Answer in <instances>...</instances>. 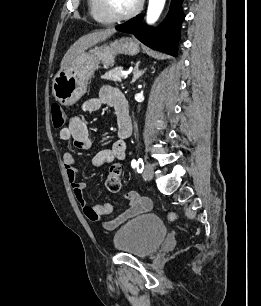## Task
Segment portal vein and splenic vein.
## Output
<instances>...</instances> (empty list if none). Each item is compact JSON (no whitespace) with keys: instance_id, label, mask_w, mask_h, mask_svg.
Here are the masks:
<instances>
[{"instance_id":"1","label":"portal vein and splenic vein","mask_w":261,"mask_h":306,"mask_svg":"<svg viewBox=\"0 0 261 306\" xmlns=\"http://www.w3.org/2000/svg\"><path fill=\"white\" fill-rule=\"evenodd\" d=\"M121 76H122L123 79H126L128 77V74L127 73H122Z\"/></svg>"}]
</instances>
